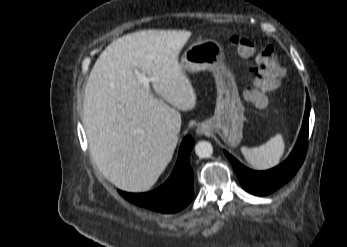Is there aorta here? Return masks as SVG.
I'll return each mask as SVG.
<instances>
[{
	"mask_svg": "<svg viewBox=\"0 0 347 247\" xmlns=\"http://www.w3.org/2000/svg\"><path fill=\"white\" fill-rule=\"evenodd\" d=\"M195 153L200 158H209L213 153V147L208 141H200L195 146Z\"/></svg>",
	"mask_w": 347,
	"mask_h": 247,
	"instance_id": "762f6f07",
	"label": "aorta"
}]
</instances>
